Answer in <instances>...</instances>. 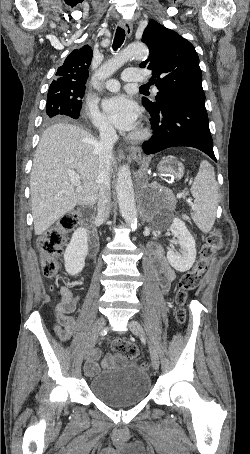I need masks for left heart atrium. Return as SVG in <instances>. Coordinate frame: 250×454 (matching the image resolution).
I'll return each instance as SVG.
<instances>
[{"mask_svg": "<svg viewBox=\"0 0 250 454\" xmlns=\"http://www.w3.org/2000/svg\"><path fill=\"white\" fill-rule=\"evenodd\" d=\"M105 115L112 124L122 131L134 130L140 116L139 107L129 96L117 94L106 98L102 103Z\"/></svg>", "mask_w": 250, "mask_h": 454, "instance_id": "1", "label": "left heart atrium"}]
</instances>
